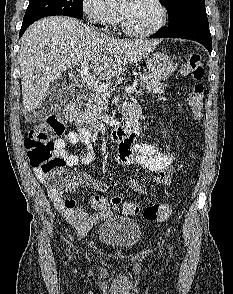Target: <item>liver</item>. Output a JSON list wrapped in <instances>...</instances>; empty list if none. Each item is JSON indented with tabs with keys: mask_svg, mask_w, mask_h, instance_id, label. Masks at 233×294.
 I'll return each mask as SVG.
<instances>
[{
	"mask_svg": "<svg viewBox=\"0 0 233 294\" xmlns=\"http://www.w3.org/2000/svg\"><path fill=\"white\" fill-rule=\"evenodd\" d=\"M159 42L116 39L69 17L37 21L21 38L19 62L25 113L41 106L50 86L67 69L88 62L98 79L108 80L126 64L147 57Z\"/></svg>",
	"mask_w": 233,
	"mask_h": 294,
	"instance_id": "6515ba94",
	"label": "liver"
}]
</instances>
